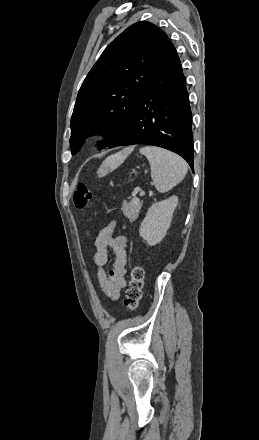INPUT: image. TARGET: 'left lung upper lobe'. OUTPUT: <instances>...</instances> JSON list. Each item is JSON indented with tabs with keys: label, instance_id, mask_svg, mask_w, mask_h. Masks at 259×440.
Masks as SVG:
<instances>
[{
	"label": "left lung upper lobe",
	"instance_id": "5c2ea615",
	"mask_svg": "<svg viewBox=\"0 0 259 440\" xmlns=\"http://www.w3.org/2000/svg\"><path fill=\"white\" fill-rule=\"evenodd\" d=\"M168 37L156 25L139 21L104 50L83 81L71 118L70 147L76 154L89 135L103 134L111 145L142 96Z\"/></svg>",
	"mask_w": 259,
	"mask_h": 440
}]
</instances>
